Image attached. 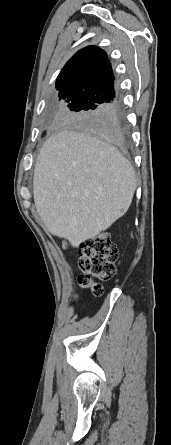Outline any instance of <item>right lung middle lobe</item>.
Returning a JSON list of instances; mask_svg holds the SVG:
<instances>
[{
	"label": "right lung middle lobe",
	"mask_w": 171,
	"mask_h": 445,
	"mask_svg": "<svg viewBox=\"0 0 171 445\" xmlns=\"http://www.w3.org/2000/svg\"><path fill=\"white\" fill-rule=\"evenodd\" d=\"M59 100V121L80 125L104 136L99 126V117L110 103L102 101L99 96L78 92H62Z\"/></svg>",
	"instance_id": "obj_1"
}]
</instances>
